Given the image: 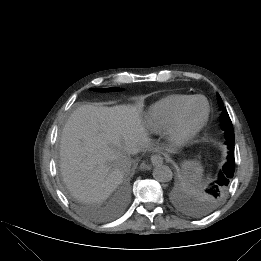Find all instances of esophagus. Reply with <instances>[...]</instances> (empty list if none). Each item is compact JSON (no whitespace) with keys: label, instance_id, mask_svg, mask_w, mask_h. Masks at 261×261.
<instances>
[{"label":"esophagus","instance_id":"obj_1","mask_svg":"<svg viewBox=\"0 0 261 261\" xmlns=\"http://www.w3.org/2000/svg\"><path fill=\"white\" fill-rule=\"evenodd\" d=\"M150 160H151L152 165L156 166V165L162 164L164 161V158L159 154H155V155L151 156Z\"/></svg>","mask_w":261,"mask_h":261}]
</instances>
